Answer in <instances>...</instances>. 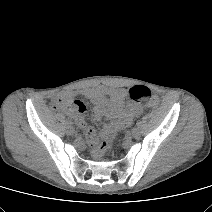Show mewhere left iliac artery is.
<instances>
[{"mask_svg":"<svg viewBox=\"0 0 212 212\" xmlns=\"http://www.w3.org/2000/svg\"><path fill=\"white\" fill-rule=\"evenodd\" d=\"M136 125H137V127H140L141 126V121L140 120L137 121Z\"/></svg>","mask_w":212,"mask_h":212,"instance_id":"left-iliac-artery-1","label":"left iliac artery"}]
</instances>
